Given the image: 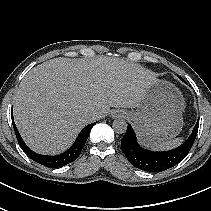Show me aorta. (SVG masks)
Here are the masks:
<instances>
[{
	"label": "aorta",
	"instance_id": "1",
	"mask_svg": "<svg viewBox=\"0 0 211 211\" xmlns=\"http://www.w3.org/2000/svg\"><path fill=\"white\" fill-rule=\"evenodd\" d=\"M112 127L116 133L123 134L127 130V123L123 119H117L113 122Z\"/></svg>",
	"mask_w": 211,
	"mask_h": 211
}]
</instances>
